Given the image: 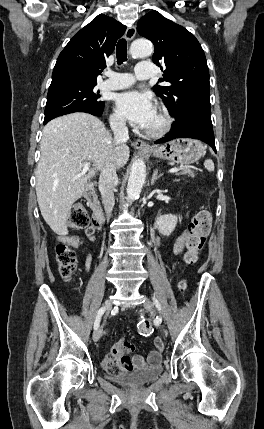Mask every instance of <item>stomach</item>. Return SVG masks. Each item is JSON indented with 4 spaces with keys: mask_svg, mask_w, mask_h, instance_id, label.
Returning a JSON list of instances; mask_svg holds the SVG:
<instances>
[{
    "mask_svg": "<svg viewBox=\"0 0 264 429\" xmlns=\"http://www.w3.org/2000/svg\"><path fill=\"white\" fill-rule=\"evenodd\" d=\"M150 154L162 160L191 164L201 158L204 154V147L199 140L178 138L154 148Z\"/></svg>",
    "mask_w": 264,
    "mask_h": 429,
    "instance_id": "0dacf381",
    "label": "stomach"
}]
</instances>
